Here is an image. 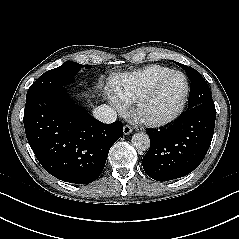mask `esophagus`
Segmentation results:
<instances>
[{
	"instance_id": "34e87169",
	"label": "esophagus",
	"mask_w": 239,
	"mask_h": 239,
	"mask_svg": "<svg viewBox=\"0 0 239 239\" xmlns=\"http://www.w3.org/2000/svg\"><path fill=\"white\" fill-rule=\"evenodd\" d=\"M132 131H133V130H132L131 126H129V125H125V126L123 127V133H124L125 135L131 134Z\"/></svg>"
}]
</instances>
